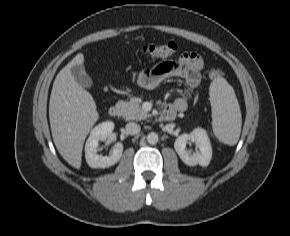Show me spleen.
<instances>
[{
	"mask_svg": "<svg viewBox=\"0 0 290 236\" xmlns=\"http://www.w3.org/2000/svg\"><path fill=\"white\" fill-rule=\"evenodd\" d=\"M209 94L214 135L224 144H236L240 137L242 117L234 89L223 78H216L210 85Z\"/></svg>",
	"mask_w": 290,
	"mask_h": 236,
	"instance_id": "1",
	"label": "spleen"
}]
</instances>
